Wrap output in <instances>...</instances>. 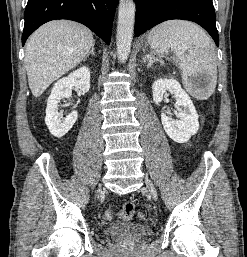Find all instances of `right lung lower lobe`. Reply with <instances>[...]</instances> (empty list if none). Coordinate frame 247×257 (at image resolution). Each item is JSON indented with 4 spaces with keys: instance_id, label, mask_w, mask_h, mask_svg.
Returning a JSON list of instances; mask_svg holds the SVG:
<instances>
[{
    "instance_id": "obj_1",
    "label": "right lung lower lobe",
    "mask_w": 247,
    "mask_h": 257,
    "mask_svg": "<svg viewBox=\"0 0 247 257\" xmlns=\"http://www.w3.org/2000/svg\"><path fill=\"white\" fill-rule=\"evenodd\" d=\"M116 0H28L22 46L42 24L55 19H69L90 28L110 44Z\"/></svg>"
}]
</instances>
